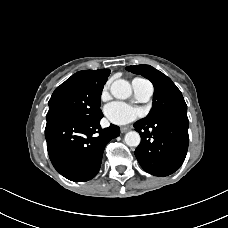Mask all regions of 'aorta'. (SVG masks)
I'll return each instance as SVG.
<instances>
[{"label":"aorta","instance_id":"obj_1","mask_svg":"<svg viewBox=\"0 0 228 228\" xmlns=\"http://www.w3.org/2000/svg\"><path fill=\"white\" fill-rule=\"evenodd\" d=\"M110 92L117 99H127L130 97L132 89L128 81L118 79L111 84ZM124 141L130 147H137L141 138L138 132L130 131L125 135Z\"/></svg>","mask_w":228,"mask_h":228}]
</instances>
